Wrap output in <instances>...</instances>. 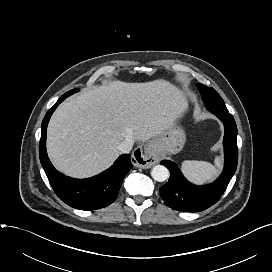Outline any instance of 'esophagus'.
Returning <instances> with one entry per match:
<instances>
[{
    "mask_svg": "<svg viewBox=\"0 0 272 272\" xmlns=\"http://www.w3.org/2000/svg\"><path fill=\"white\" fill-rule=\"evenodd\" d=\"M134 165L139 168L148 169L159 160L154 146L147 143L143 148H137L132 154Z\"/></svg>",
    "mask_w": 272,
    "mask_h": 272,
    "instance_id": "1",
    "label": "esophagus"
}]
</instances>
